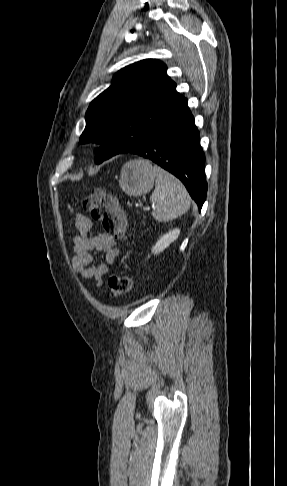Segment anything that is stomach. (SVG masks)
<instances>
[{"label": "stomach", "instance_id": "1", "mask_svg": "<svg viewBox=\"0 0 287 486\" xmlns=\"http://www.w3.org/2000/svg\"><path fill=\"white\" fill-rule=\"evenodd\" d=\"M156 178V174L147 160L135 159L126 162L120 173L119 185L130 196H141L148 193Z\"/></svg>", "mask_w": 287, "mask_h": 486}]
</instances>
